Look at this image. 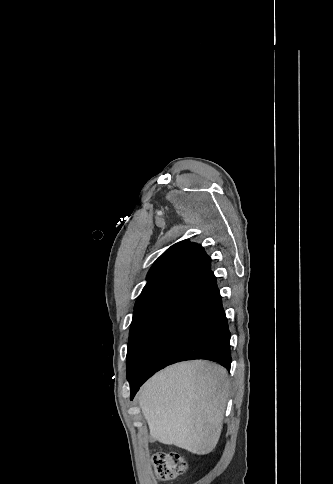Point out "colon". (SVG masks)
<instances>
[{"mask_svg":"<svg viewBox=\"0 0 333 484\" xmlns=\"http://www.w3.org/2000/svg\"><path fill=\"white\" fill-rule=\"evenodd\" d=\"M156 476L162 481L176 479L187 469L185 460L177 453L161 451L152 458Z\"/></svg>","mask_w":333,"mask_h":484,"instance_id":"obj_1","label":"colon"}]
</instances>
